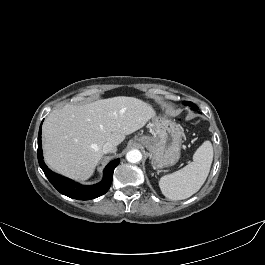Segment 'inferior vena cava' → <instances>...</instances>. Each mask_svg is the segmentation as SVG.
<instances>
[{"label":"inferior vena cava","mask_w":265,"mask_h":265,"mask_svg":"<svg viewBox=\"0 0 265 265\" xmlns=\"http://www.w3.org/2000/svg\"><path fill=\"white\" fill-rule=\"evenodd\" d=\"M103 153H112L116 151V146L112 142H107L102 147Z\"/></svg>","instance_id":"602c4592"}]
</instances>
